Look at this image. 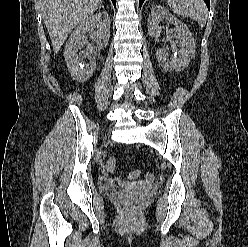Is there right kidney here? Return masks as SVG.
Returning a JSON list of instances; mask_svg holds the SVG:
<instances>
[{"label":"right kidney","mask_w":248,"mask_h":247,"mask_svg":"<svg viewBox=\"0 0 248 247\" xmlns=\"http://www.w3.org/2000/svg\"><path fill=\"white\" fill-rule=\"evenodd\" d=\"M110 24L108 13L99 12L81 22L68 39L64 49V57L68 70L76 81H87L96 68V61L92 58L84 66L78 51L88 44V37L95 41L99 47L106 46L110 37Z\"/></svg>","instance_id":"1"}]
</instances>
